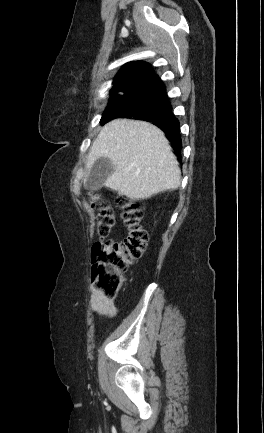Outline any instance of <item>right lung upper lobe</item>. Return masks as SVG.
I'll use <instances>...</instances> for the list:
<instances>
[{"label":"right lung upper lobe","instance_id":"right-lung-upper-lobe-1","mask_svg":"<svg viewBox=\"0 0 264 433\" xmlns=\"http://www.w3.org/2000/svg\"><path fill=\"white\" fill-rule=\"evenodd\" d=\"M154 75L151 65L146 62L133 61L126 63L113 81L114 86L110 91L111 97H117L129 90L142 88Z\"/></svg>","mask_w":264,"mask_h":433}]
</instances>
